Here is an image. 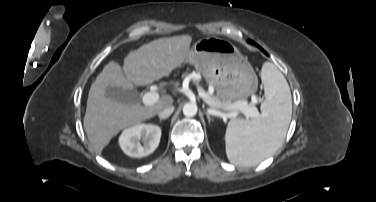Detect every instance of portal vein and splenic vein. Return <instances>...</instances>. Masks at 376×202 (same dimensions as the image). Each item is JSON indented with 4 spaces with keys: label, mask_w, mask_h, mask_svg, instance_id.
Instances as JSON below:
<instances>
[{
    "label": "portal vein and splenic vein",
    "mask_w": 376,
    "mask_h": 202,
    "mask_svg": "<svg viewBox=\"0 0 376 202\" xmlns=\"http://www.w3.org/2000/svg\"><path fill=\"white\" fill-rule=\"evenodd\" d=\"M199 95L200 96H206L203 92H199ZM159 99V95L158 93L156 92H147L143 95V98H142V101L145 105H152L154 103H156ZM241 106H246L247 109V115L248 116H254L257 112V109L255 107H251V106H248L246 102H236L234 104H229L227 106H225L227 109H236L237 107H241ZM209 113L212 114V115H216V110L211 108L209 109ZM229 116L231 118H234L237 116V112L236 111H233V112H230L229 113Z\"/></svg>",
    "instance_id": "18ae733b"
}]
</instances>
